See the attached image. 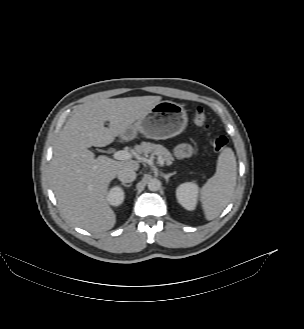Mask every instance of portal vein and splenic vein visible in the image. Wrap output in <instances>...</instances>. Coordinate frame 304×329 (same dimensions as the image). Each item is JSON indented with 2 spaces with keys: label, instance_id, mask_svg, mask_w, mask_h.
I'll list each match as a JSON object with an SVG mask.
<instances>
[{
  "label": "portal vein and splenic vein",
  "instance_id": "obj_1",
  "mask_svg": "<svg viewBox=\"0 0 304 329\" xmlns=\"http://www.w3.org/2000/svg\"><path fill=\"white\" fill-rule=\"evenodd\" d=\"M113 157L117 160H130L133 157V155L128 151L120 150L114 152ZM158 162L161 166L164 165V159L161 156H158Z\"/></svg>",
  "mask_w": 304,
  "mask_h": 329
}]
</instances>
